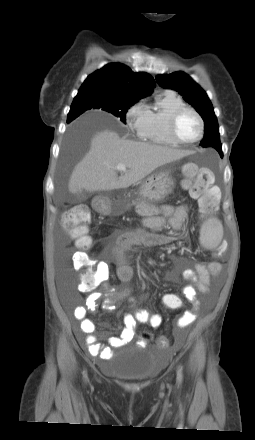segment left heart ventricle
I'll use <instances>...</instances> for the list:
<instances>
[{"instance_id":"obj_1","label":"left heart ventricle","mask_w":255,"mask_h":440,"mask_svg":"<svg viewBox=\"0 0 255 440\" xmlns=\"http://www.w3.org/2000/svg\"><path fill=\"white\" fill-rule=\"evenodd\" d=\"M177 132L185 141L194 140L199 134V122L196 116L191 112H185L178 121Z\"/></svg>"}]
</instances>
